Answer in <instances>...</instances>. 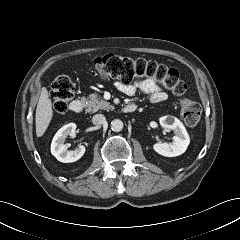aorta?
Listing matches in <instances>:
<instances>
[{"instance_id":"obj_1","label":"aorta","mask_w":240,"mask_h":240,"mask_svg":"<svg viewBox=\"0 0 240 240\" xmlns=\"http://www.w3.org/2000/svg\"><path fill=\"white\" fill-rule=\"evenodd\" d=\"M111 129L114 132H120L123 129V122L119 119H115L111 122Z\"/></svg>"}]
</instances>
